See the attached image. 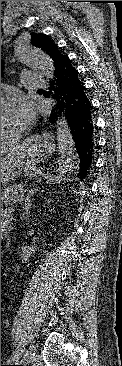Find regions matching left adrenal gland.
<instances>
[{"label": "left adrenal gland", "mask_w": 122, "mask_h": 366, "mask_svg": "<svg viewBox=\"0 0 122 366\" xmlns=\"http://www.w3.org/2000/svg\"><path fill=\"white\" fill-rule=\"evenodd\" d=\"M34 193V191L31 189V190H29V193L27 194V197L25 198V203H24V210L26 211V212H28V209L30 208V206H31V195Z\"/></svg>", "instance_id": "1"}]
</instances>
